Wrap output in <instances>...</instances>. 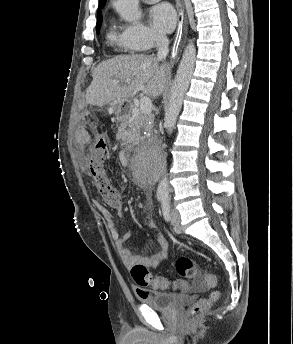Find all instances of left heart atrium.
Returning <instances> with one entry per match:
<instances>
[{"instance_id":"39dd6f15","label":"left heart atrium","mask_w":293,"mask_h":344,"mask_svg":"<svg viewBox=\"0 0 293 344\" xmlns=\"http://www.w3.org/2000/svg\"><path fill=\"white\" fill-rule=\"evenodd\" d=\"M149 21L155 31L169 33L175 26V12L169 4L156 5L149 11Z\"/></svg>"}]
</instances>
